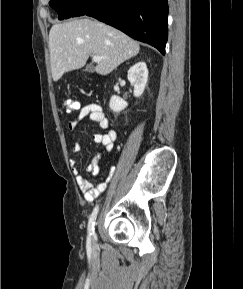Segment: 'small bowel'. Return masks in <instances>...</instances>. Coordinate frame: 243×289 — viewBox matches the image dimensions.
Returning a JSON list of instances; mask_svg holds the SVG:
<instances>
[{
    "label": "small bowel",
    "mask_w": 243,
    "mask_h": 289,
    "mask_svg": "<svg viewBox=\"0 0 243 289\" xmlns=\"http://www.w3.org/2000/svg\"><path fill=\"white\" fill-rule=\"evenodd\" d=\"M85 119L95 121L103 130H107L109 127V121L103 108L96 103H90L80 109L78 115L69 122L68 128L72 131L77 130ZM116 139L117 133L115 130H108L105 133H96L93 135V141L97 144H101L106 151H111L113 149ZM80 150L81 145L79 143H75L73 145V152H79ZM99 159L100 155L98 154L94 157L92 162L86 166L87 173L92 175H97L99 173ZM70 164L75 175L77 185L83 194L84 200L88 203L93 202L105 191L107 183L112 179L115 172V169H111L106 181L99 182L94 186L89 179L80 174L74 159L70 160Z\"/></svg>",
    "instance_id": "obj_1"
}]
</instances>
